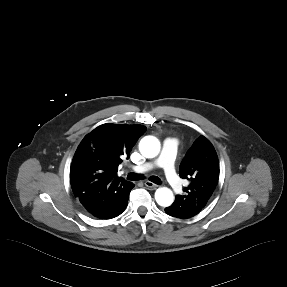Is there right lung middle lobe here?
I'll use <instances>...</instances> for the list:
<instances>
[{"label":"right lung middle lobe","mask_w":287,"mask_h":287,"mask_svg":"<svg viewBox=\"0 0 287 287\" xmlns=\"http://www.w3.org/2000/svg\"><path fill=\"white\" fill-rule=\"evenodd\" d=\"M86 173H87V176L89 178L96 179L98 177L97 170H95V169L90 168V169L86 170Z\"/></svg>","instance_id":"dd1d6c3e"}]
</instances>
